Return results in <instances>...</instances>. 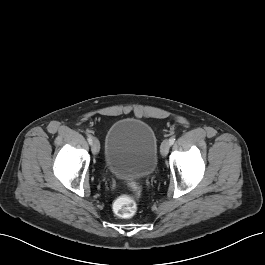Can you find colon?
<instances>
[{
    "mask_svg": "<svg viewBox=\"0 0 265 265\" xmlns=\"http://www.w3.org/2000/svg\"><path fill=\"white\" fill-rule=\"evenodd\" d=\"M115 208L118 216L122 218H129L136 212V202L133 197L123 195L117 200Z\"/></svg>",
    "mask_w": 265,
    "mask_h": 265,
    "instance_id": "1",
    "label": "colon"
}]
</instances>
